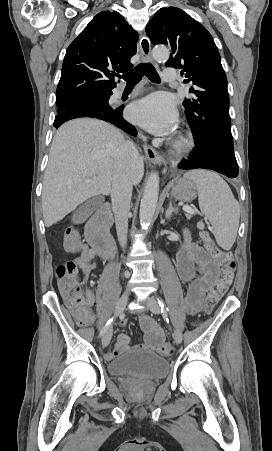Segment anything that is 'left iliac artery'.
<instances>
[{
    "label": "left iliac artery",
    "mask_w": 272,
    "mask_h": 451,
    "mask_svg": "<svg viewBox=\"0 0 272 451\" xmlns=\"http://www.w3.org/2000/svg\"><path fill=\"white\" fill-rule=\"evenodd\" d=\"M157 300H158V303H159V305L161 307V311L162 312L164 311L165 313H167L168 307H166L164 301L160 297H158Z\"/></svg>",
    "instance_id": "obj_1"
}]
</instances>
